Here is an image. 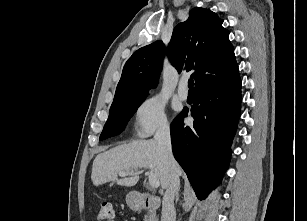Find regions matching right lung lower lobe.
<instances>
[{
  "mask_svg": "<svg viewBox=\"0 0 307 221\" xmlns=\"http://www.w3.org/2000/svg\"><path fill=\"white\" fill-rule=\"evenodd\" d=\"M241 80L195 94L193 127L182 111L171 124L172 150L196 195L205 199L228 167L230 146L240 117Z\"/></svg>",
  "mask_w": 307,
  "mask_h": 221,
  "instance_id": "right-lung-lower-lobe-1",
  "label": "right lung lower lobe"
}]
</instances>
